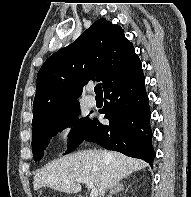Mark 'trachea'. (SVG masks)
<instances>
[{"label": "trachea", "instance_id": "3493384b", "mask_svg": "<svg viewBox=\"0 0 191 197\" xmlns=\"http://www.w3.org/2000/svg\"><path fill=\"white\" fill-rule=\"evenodd\" d=\"M94 91L96 94H103L102 87H101L100 83L95 86Z\"/></svg>", "mask_w": 191, "mask_h": 197}]
</instances>
